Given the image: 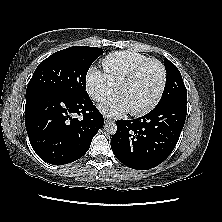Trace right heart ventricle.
I'll return each mask as SVG.
<instances>
[{
  "label": "right heart ventricle",
  "mask_w": 222,
  "mask_h": 222,
  "mask_svg": "<svg viewBox=\"0 0 222 222\" xmlns=\"http://www.w3.org/2000/svg\"><path fill=\"white\" fill-rule=\"evenodd\" d=\"M149 59L147 56L130 51H118L106 56L102 65L105 73L118 87L120 82L140 63Z\"/></svg>",
  "instance_id": "obj_1"
}]
</instances>
